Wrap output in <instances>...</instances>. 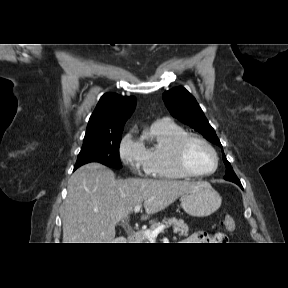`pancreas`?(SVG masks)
Returning <instances> with one entry per match:
<instances>
[{
    "mask_svg": "<svg viewBox=\"0 0 288 288\" xmlns=\"http://www.w3.org/2000/svg\"><path fill=\"white\" fill-rule=\"evenodd\" d=\"M173 225L174 233H178L180 236H188V225L184 223L183 219H176L175 217L169 219H163L162 222H153L149 228L150 231L155 230L160 225ZM134 243H147L148 239L145 237L142 231L134 234Z\"/></svg>",
    "mask_w": 288,
    "mask_h": 288,
    "instance_id": "1",
    "label": "pancreas"
}]
</instances>
